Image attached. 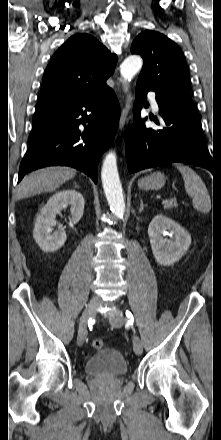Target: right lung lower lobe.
Masks as SVG:
<instances>
[{"label": "right lung lower lobe", "mask_w": 221, "mask_h": 440, "mask_svg": "<svg viewBox=\"0 0 221 440\" xmlns=\"http://www.w3.org/2000/svg\"><path fill=\"white\" fill-rule=\"evenodd\" d=\"M120 115L111 88L91 96H78L36 105L29 135L31 144L19 171L65 165L81 170L97 183L101 155L111 146Z\"/></svg>", "instance_id": "98d812e1"}]
</instances>
